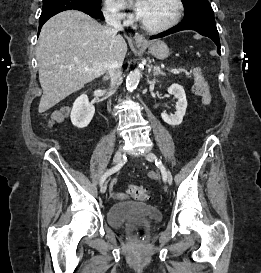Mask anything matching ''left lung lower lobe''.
Segmentation results:
<instances>
[{
    "instance_id": "obj_1",
    "label": "left lung lower lobe",
    "mask_w": 261,
    "mask_h": 273,
    "mask_svg": "<svg viewBox=\"0 0 261 273\" xmlns=\"http://www.w3.org/2000/svg\"><path fill=\"white\" fill-rule=\"evenodd\" d=\"M182 30H194L203 36L209 37L217 45V52L221 54L214 12L208 1L197 3L185 10L184 19L181 23L167 31L151 36L150 39L161 38Z\"/></svg>"
}]
</instances>
